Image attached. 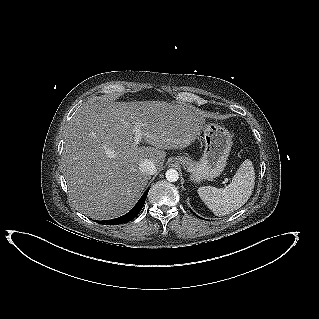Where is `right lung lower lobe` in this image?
<instances>
[{
    "mask_svg": "<svg viewBox=\"0 0 319 319\" xmlns=\"http://www.w3.org/2000/svg\"><path fill=\"white\" fill-rule=\"evenodd\" d=\"M148 191L149 190H147L142 195V197L139 199L137 204L127 214H125L119 218H116V219L99 221V223H102L103 225H112V224L118 225V224H122V223H126V222L131 221L132 219H134L138 215V213L143 208Z\"/></svg>",
    "mask_w": 319,
    "mask_h": 319,
    "instance_id": "98d812e1",
    "label": "right lung lower lobe"
}]
</instances>
